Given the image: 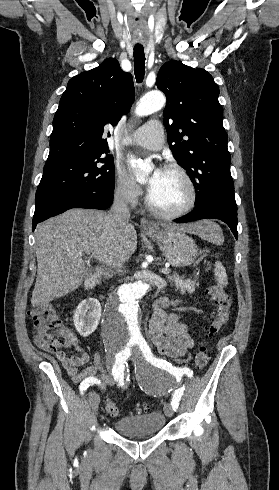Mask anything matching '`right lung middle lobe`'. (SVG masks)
Segmentation results:
<instances>
[{
  "label": "right lung middle lobe",
  "instance_id": "1",
  "mask_svg": "<svg viewBox=\"0 0 279 490\" xmlns=\"http://www.w3.org/2000/svg\"><path fill=\"white\" fill-rule=\"evenodd\" d=\"M104 153L107 154L108 149L83 157L46 162L35 200L53 192L85 191L113 194V158L109 155L103 157Z\"/></svg>",
  "mask_w": 279,
  "mask_h": 490
}]
</instances>
